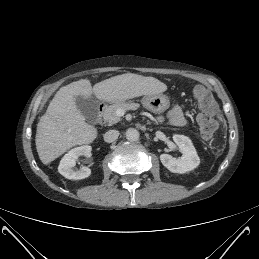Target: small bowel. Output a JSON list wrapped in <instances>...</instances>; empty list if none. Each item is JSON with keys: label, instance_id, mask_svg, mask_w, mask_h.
Instances as JSON below:
<instances>
[{"label": "small bowel", "instance_id": "1", "mask_svg": "<svg viewBox=\"0 0 259 259\" xmlns=\"http://www.w3.org/2000/svg\"><path fill=\"white\" fill-rule=\"evenodd\" d=\"M168 121L177 126H183L186 124V116L184 108L181 106H174L167 114ZM159 121L164 120V117H159Z\"/></svg>", "mask_w": 259, "mask_h": 259}]
</instances>
